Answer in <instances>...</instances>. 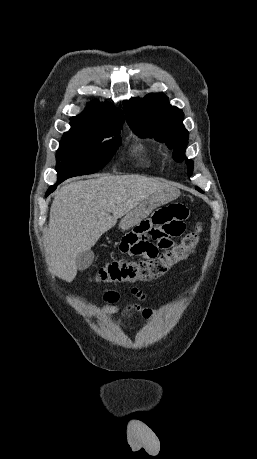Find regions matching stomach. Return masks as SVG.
<instances>
[{
	"instance_id": "0dacf381",
	"label": "stomach",
	"mask_w": 257,
	"mask_h": 459,
	"mask_svg": "<svg viewBox=\"0 0 257 459\" xmlns=\"http://www.w3.org/2000/svg\"><path fill=\"white\" fill-rule=\"evenodd\" d=\"M180 192L173 187H167L155 192L144 199L137 207L131 210L119 223V228L128 230L134 223H140L143 217H148L155 205H164L179 196Z\"/></svg>"
}]
</instances>
